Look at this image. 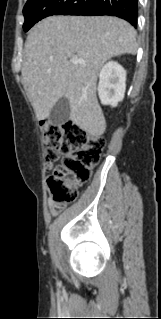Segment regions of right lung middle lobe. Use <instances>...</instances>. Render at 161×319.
Returning a JSON list of instances; mask_svg holds the SVG:
<instances>
[{"label":"right lung middle lobe","mask_w":161,"mask_h":319,"mask_svg":"<svg viewBox=\"0 0 161 319\" xmlns=\"http://www.w3.org/2000/svg\"><path fill=\"white\" fill-rule=\"evenodd\" d=\"M86 0H28L24 6V31H28L39 20L52 15H70Z\"/></svg>","instance_id":"obj_1"}]
</instances>
